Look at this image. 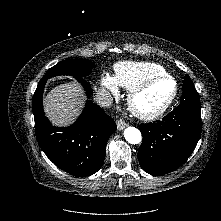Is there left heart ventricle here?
Returning <instances> with one entry per match:
<instances>
[{
    "mask_svg": "<svg viewBox=\"0 0 221 221\" xmlns=\"http://www.w3.org/2000/svg\"><path fill=\"white\" fill-rule=\"evenodd\" d=\"M171 90L170 81H159L137 98V106L144 111L154 110L168 98Z\"/></svg>",
    "mask_w": 221,
    "mask_h": 221,
    "instance_id": "b2bd125f",
    "label": "left heart ventricle"
}]
</instances>
